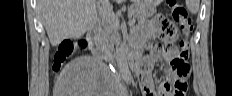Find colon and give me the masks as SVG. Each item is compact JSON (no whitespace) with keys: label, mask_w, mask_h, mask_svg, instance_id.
Segmentation results:
<instances>
[{"label":"colon","mask_w":232,"mask_h":96,"mask_svg":"<svg viewBox=\"0 0 232 96\" xmlns=\"http://www.w3.org/2000/svg\"><path fill=\"white\" fill-rule=\"evenodd\" d=\"M169 15L173 22L178 23L185 35L189 34L192 29L191 20L183 4L178 0H168ZM172 37L173 35H168ZM76 47L81 49L86 47L85 40H79L77 43L72 41H64L60 44L58 50L54 54L52 72L57 74L65 60L73 53ZM160 50L168 57L171 69L178 75L189 74L190 67L187 63L188 44L186 38L183 39L177 47L164 46Z\"/></svg>","instance_id":"colon-1"}]
</instances>
